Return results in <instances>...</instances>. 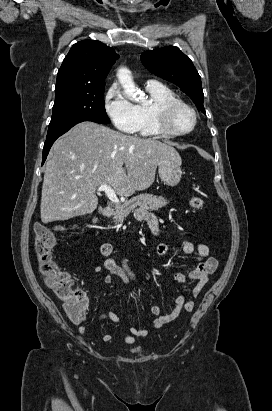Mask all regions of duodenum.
Segmentation results:
<instances>
[{
	"label": "duodenum",
	"instance_id": "duodenum-1",
	"mask_svg": "<svg viewBox=\"0 0 272 411\" xmlns=\"http://www.w3.org/2000/svg\"><path fill=\"white\" fill-rule=\"evenodd\" d=\"M114 209L112 207H106L101 211L98 217H96L92 223V228L97 229L101 223V221L105 218H109L112 216Z\"/></svg>",
	"mask_w": 272,
	"mask_h": 411
}]
</instances>
